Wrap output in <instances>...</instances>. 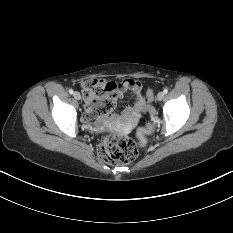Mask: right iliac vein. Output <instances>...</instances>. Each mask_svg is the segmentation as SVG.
Here are the masks:
<instances>
[{"instance_id":"obj_1","label":"right iliac vein","mask_w":233,"mask_h":233,"mask_svg":"<svg viewBox=\"0 0 233 233\" xmlns=\"http://www.w3.org/2000/svg\"><path fill=\"white\" fill-rule=\"evenodd\" d=\"M74 98L77 99V100H80L81 99V95L79 92H74L73 94Z\"/></svg>"}]
</instances>
